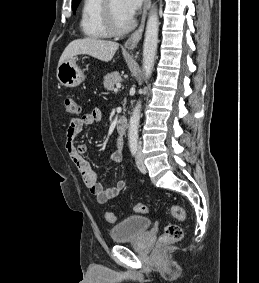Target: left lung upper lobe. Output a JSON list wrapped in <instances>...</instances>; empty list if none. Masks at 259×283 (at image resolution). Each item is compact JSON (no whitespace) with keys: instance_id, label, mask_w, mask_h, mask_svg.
<instances>
[{"instance_id":"obj_1","label":"left lung upper lobe","mask_w":259,"mask_h":283,"mask_svg":"<svg viewBox=\"0 0 259 283\" xmlns=\"http://www.w3.org/2000/svg\"><path fill=\"white\" fill-rule=\"evenodd\" d=\"M80 1H81V0H72V9H73V12H75V10H76V8H77V6H78V4H79Z\"/></svg>"}]
</instances>
